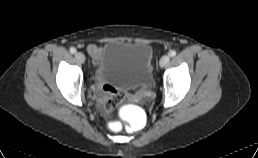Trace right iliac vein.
<instances>
[{
  "label": "right iliac vein",
  "instance_id": "right-iliac-vein-1",
  "mask_svg": "<svg viewBox=\"0 0 258 158\" xmlns=\"http://www.w3.org/2000/svg\"><path fill=\"white\" fill-rule=\"evenodd\" d=\"M75 58H76L77 61L80 62V63H84V61H85V56H84V54L81 53V52H77V53L75 54Z\"/></svg>",
  "mask_w": 258,
  "mask_h": 158
}]
</instances>
